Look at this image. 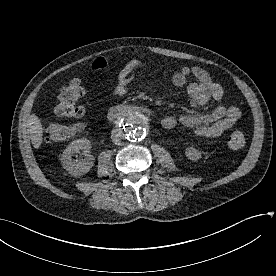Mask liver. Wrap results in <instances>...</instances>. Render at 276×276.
Here are the masks:
<instances>
[{"instance_id": "1", "label": "liver", "mask_w": 276, "mask_h": 276, "mask_svg": "<svg viewBox=\"0 0 276 276\" xmlns=\"http://www.w3.org/2000/svg\"><path fill=\"white\" fill-rule=\"evenodd\" d=\"M28 131L34 148L38 149L43 141V126L40 119L32 114L28 119Z\"/></svg>"}]
</instances>
